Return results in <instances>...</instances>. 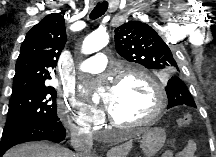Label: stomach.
Returning <instances> with one entry per match:
<instances>
[{
  "label": "stomach",
  "instance_id": "1",
  "mask_svg": "<svg viewBox=\"0 0 216 157\" xmlns=\"http://www.w3.org/2000/svg\"><path fill=\"white\" fill-rule=\"evenodd\" d=\"M165 139L166 133L163 128L153 127L146 129L141 136V148L145 157H153L158 153L162 148Z\"/></svg>",
  "mask_w": 216,
  "mask_h": 157
}]
</instances>
